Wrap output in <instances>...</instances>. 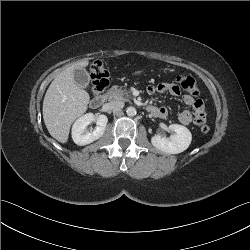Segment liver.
<instances>
[{"mask_svg":"<svg viewBox=\"0 0 250 250\" xmlns=\"http://www.w3.org/2000/svg\"><path fill=\"white\" fill-rule=\"evenodd\" d=\"M88 60L71 64L51 82L43 101V119L50 135L66 143L72 123L84 114L89 94L74 80V70L88 66Z\"/></svg>","mask_w":250,"mask_h":250,"instance_id":"6515ba94","label":"liver"}]
</instances>
